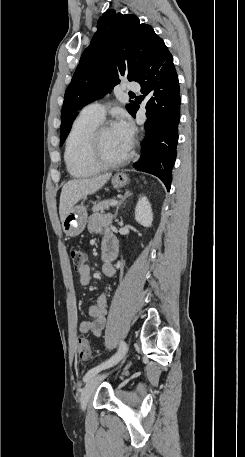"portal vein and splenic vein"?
Returning <instances> with one entry per match:
<instances>
[{
  "label": "portal vein and splenic vein",
  "instance_id": "portal-vein-and-splenic-vein-1",
  "mask_svg": "<svg viewBox=\"0 0 245 457\" xmlns=\"http://www.w3.org/2000/svg\"><path fill=\"white\" fill-rule=\"evenodd\" d=\"M118 200H112V202H110V204H117Z\"/></svg>",
  "mask_w": 245,
  "mask_h": 457
}]
</instances>
